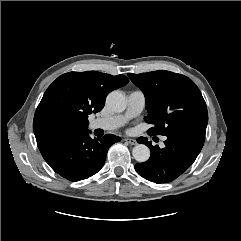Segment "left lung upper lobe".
I'll use <instances>...</instances> for the list:
<instances>
[{"instance_id": "5c2ea615", "label": "left lung upper lobe", "mask_w": 241, "mask_h": 241, "mask_svg": "<svg viewBox=\"0 0 241 241\" xmlns=\"http://www.w3.org/2000/svg\"><path fill=\"white\" fill-rule=\"evenodd\" d=\"M128 76L145 95L148 115L144 119L154 125L149 133L168 136L197 130L206 132V103L191 79L165 70Z\"/></svg>"}]
</instances>
